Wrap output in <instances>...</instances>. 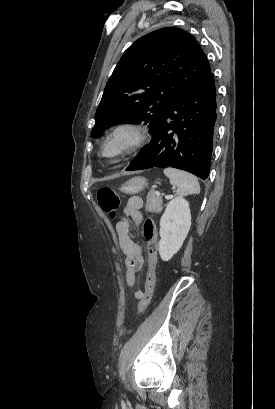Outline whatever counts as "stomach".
<instances>
[{
    "label": "stomach",
    "mask_w": 275,
    "mask_h": 409,
    "mask_svg": "<svg viewBox=\"0 0 275 409\" xmlns=\"http://www.w3.org/2000/svg\"><path fill=\"white\" fill-rule=\"evenodd\" d=\"M146 184V178H143V176H134V178H130V180L124 182L120 190L125 192V194H137V192H141V190H143Z\"/></svg>",
    "instance_id": "0dacf381"
}]
</instances>
